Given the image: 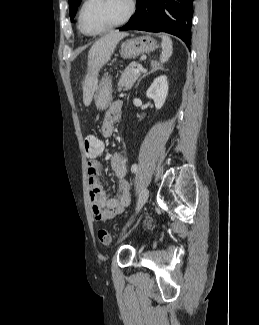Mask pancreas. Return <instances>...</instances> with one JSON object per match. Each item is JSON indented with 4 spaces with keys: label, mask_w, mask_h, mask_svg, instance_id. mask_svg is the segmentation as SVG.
I'll use <instances>...</instances> for the list:
<instances>
[{
    "label": "pancreas",
    "mask_w": 259,
    "mask_h": 325,
    "mask_svg": "<svg viewBox=\"0 0 259 325\" xmlns=\"http://www.w3.org/2000/svg\"><path fill=\"white\" fill-rule=\"evenodd\" d=\"M140 73H134V66L129 65L126 69L122 72L121 78L118 82V91L129 90L133 87L134 83L139 78Z\"/></svg>",
    "instance_id": "pancreas-1"
}]
</instances>
